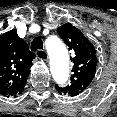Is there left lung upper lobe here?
<instances>
[{"label":"left lung upper lobe","instance_id":"1","mask_svg":"<svg viewBox=\"0 0 117 117\" xmlns=\"http://www.w3.org/2000/svg\"><path fill=\"white\" fill-rule=\"evenodd\" d=\"M58 34L74 52L71 61L74 62L71 84L67 87H59L56 90L60 94L77 96L87 89L95 76L97 58L93 44L83 35V33L73 27L70 23L64 24L58 28Z\"/></svg>","mask_w":117,"mask_h":117}]
</instances>
